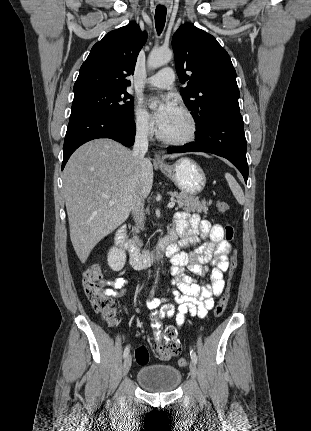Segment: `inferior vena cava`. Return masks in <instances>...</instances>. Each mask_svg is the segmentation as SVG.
Segmentation results:
<instances>
[{
  "label": "inferior vena cava",
  "mask_w": 311,
  "mask_h": 431,
  "mask_svg": "<svg viewBox=\"0 0 311 431\" xmlns=\"http://www.w3.org/2000/svg\"><path fill=\"white\" fill-rule=\"evenodd\" d=\"M148 136V122H140V124H137L132 154L138 164H142L144 156L146 152H148ZM135 200L136 202L132 208V216L136 225L141 227L144 221V200L141 194H139V190L135 196Z\"/></svg>",
  "instance_id": "obj_1"
}]
</instances>
